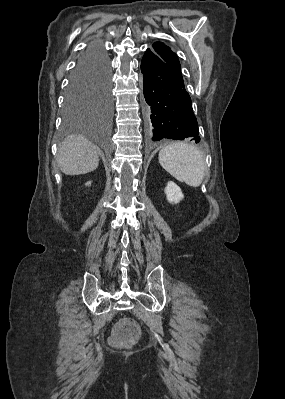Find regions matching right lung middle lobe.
I'll return each mask as SVG.
<instances>
[{"instance_id":"right-lung-middle-lobe-1","label":"right lung middle lobe","mask_w":285,"mask_h":399,"mask_svg":"<svg viewBox=\"0 0 285 399\" xmlns=\"http://www.w3.org/2000/svg\"><path fill=\"white\" fill-rule=\"evenodd\" d=\"M91 111L105 119L111 113L110 66L105 51H99L87 62L77 65L71 75L64 102L66 129Z\"/></svg>"}]
</instances>
